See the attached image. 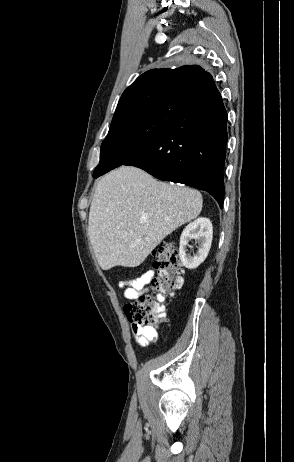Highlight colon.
<instances>
[{
  "instance_id": "5ec220e1",
  "label": "colon",
  "mask_w": 294,
  "mask_h": 462,
  "mask_svg": "<svg viewBox=\"0 0 294 462\" xmlns=\"http://www.w3.org/2000/svg\"><path fill=\"white\" fill-rule=\"evenodd\" d=\"M157 276L150 282L153 292L159 294L155 300L152 293L142 294L125 305L131 321L139 325L158 323L165 318L164 295L171 294L183 283V269L178 250L172 243L163 242L152 252Z\"/></svg>"
}]
</instances>
